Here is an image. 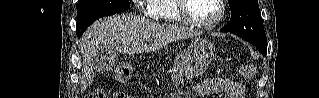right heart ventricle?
I'll return each instance as SVG.
<instances>
[{
  "mask_svg": "<svg viewBox=\"0 0 319 98\" xmlns=\"http://www.w3.org/2000/svg\"><path fill=\"white\" fill-rule=\"evenodd\" d=\"M176 1L177 0H147L146 8L159 19L168 22L182 23L183 20L179 16Z\"/></svg>",
  "mask_w": 319,
  "mask_h": 98,
  "instance_id": "obj_1",
  "label": "right heart ventricle"
}]
</instances>
